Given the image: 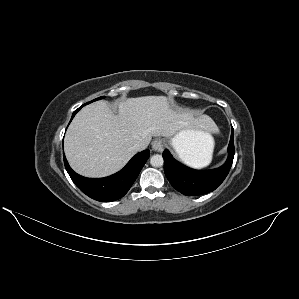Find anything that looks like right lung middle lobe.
<instances>
[{
    "instance_id": "obj_1",
    "label": "right lung middle lobe",
    "mask_w": 299,
    "mask_h": 299,
    "mask_svg": "<svg viewBox=\"0 0 299 299\" xmlns=\"http://www.w3.org/2000/svg\"><path fill=\"white\" fill-rule=\"evenodd\" d=\"M103 98H104V96L99 97V98H96V99L92 100L91 102L96 101V100H100V99H103ZM91 102H89V103H91ZM87 104H88V103H87Z\"/></svg>"
}]
</instances>
